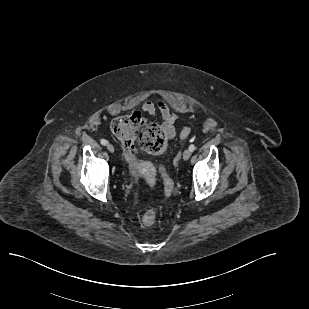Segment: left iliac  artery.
Listing matches in <instances>:
<instances>
[{
	"label": "left iliac artery",
	"instance_id": "obj_1",
	"mask_svg": "<svg viewBox=\"0 0 309 309\" xmlns=\"http://www.w3.org/2000/svg\"><path fill=\"white\" fill-rule=\"evenodd\" d=\"M195 145H193V144H191L190 146H189V150L191 151V152H193L194 150H195Z\"/></svg>",
	"mask_w": 309,
	"mask_h": 309
}]
</instances>
